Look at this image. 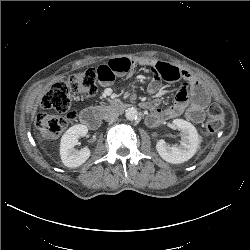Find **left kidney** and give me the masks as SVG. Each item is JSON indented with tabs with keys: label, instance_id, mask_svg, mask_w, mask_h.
Segmentation results:
<instances>
[{
	"label": "left kidney",
	"instance_id": "5707ae66",
	"mask_svg": "<svg viewBox=\"0 0 250 250\" xmlns=\"http://www.w3.org/2000/svg\"><path fill=\"white\" fill-rule=\"evenodd\" d=\"M173 125L181 131L179 146H170L164 140L156 144L158 154L163 160L171 164H180L194 156L200 143V137L196 128L188 121L174 119Z\"/></svg>",
	"mask_w": 250,
	"mask_h": 250
}]
</instances>
